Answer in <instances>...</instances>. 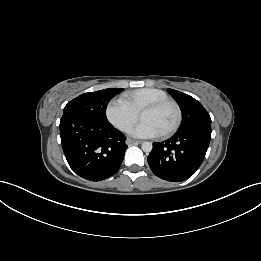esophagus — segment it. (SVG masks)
I'll return each mask as SVG.
<instances>
[{
  "label": "esophagus",
  "instance_id": "34e87169",
  "mask_svg": "<svg viewBox=\"0 0 261 261\" xmlns=\"http://www.w3.org/2000/svg\"><path fill=\"white\" fill-rule=\"evenodd\" d=\"M126 143H127L128 145H132V144H140V143H142V141L128 138V139L126 140Z\"/></svg>",
  "mask_w": 261,
  "mask_h": 261
}]
</instances>
